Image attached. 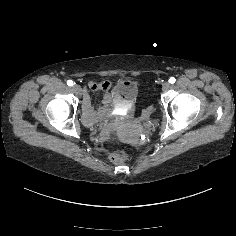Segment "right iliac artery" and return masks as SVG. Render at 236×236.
Segmentation results:
<instances>
[{
  "label": "right iliac artery",
  "mask_w": 236,
  "mask_h": 236,
  "mask_svg": "<svg viewBox=\"0 0 236 236\" xmlns=\"http://www.w3.org/2000/svg\"><path fill=\"white\" fill-rule=\"evenodd\" d=\"M73 84H74V83H73L72 80H68V81H67V85H68V86H73Z\"/></svg>",
  "instance_id": "right-iliac-artery-1"
}]
</instances>
